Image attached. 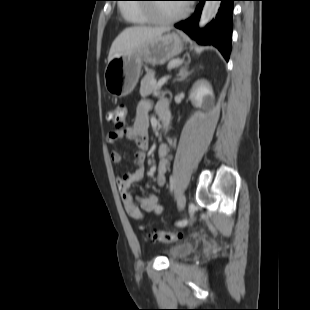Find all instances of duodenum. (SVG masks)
<instances>
[{"instance_id": "obj_1", "label": "duodenum", "mask_w": 310, "mask_h": 310, "mask_svg": "<svg viewBox=\"0 0 310 310\" xmlns=\"http://www.w3.org/2000/svg\"><path fill=\"white\" fill-rule=\"evenodd\" d=\"M168 115L169 114L167 112L160 113V117H161L165 126H167V124H168Z\"/></svg>"}]
</instances>
